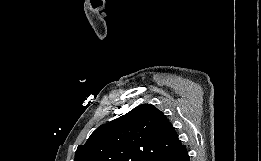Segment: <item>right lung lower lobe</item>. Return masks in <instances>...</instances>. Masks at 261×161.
Returning <instances> with one entry per match:
<instances>
[{"mask_svg": "<svg viewBox=\"0 0 261 161\" xmlns=\"http://www.w3.org/2000/svg\"><path fill=\"white\" fill-rule=\"evenodd\" d=\"M150 161H190L185 145H181L178 149L158 155Z\"/></svg>", "mask_w": 261, "mask_h": 161, "instance_id": "98d812e1", "label": "right lung lower lobe"}]
</instances>
